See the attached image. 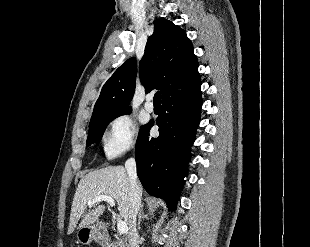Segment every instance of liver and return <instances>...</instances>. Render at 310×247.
<instances>
[{
	"instance_id": "1",
	"label": "liver",
	"mask_w": 310,
	"mask_h": 247,
	"mask_svg": "<svg viewBox=\"0 0 310 247\" xmlns=\"http://www.w3.org/2000/svg\"><path fill=\"white\" fill-rule=\"evenodd\" d=\"M100 195L111 196L118 205L119 216L129 226L130 182L123 166H107L86 174L79 182L71 207L68 234L79 225L94 224L105 211L104 205H98L87 211V204Z\"/></svg>"
}]
</instances>
